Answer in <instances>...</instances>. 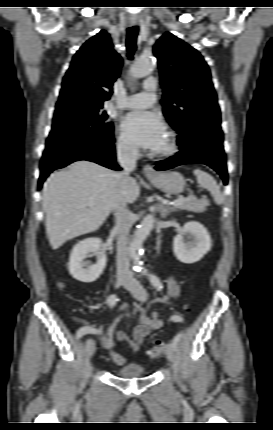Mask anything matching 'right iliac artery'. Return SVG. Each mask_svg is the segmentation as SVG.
I'll list each match as a JSON object with an SVG mask.
<instances>
[{"instance_id":"82829eb1","label":"right iliac artery","mask_w":273,"mask_h":430,"mask_svg":"<svg viewBox=\"0 0 273 430\" xmlns=\"http://www.w3.org/2000/svg\"><path fill=\"white\" fill-rule=\"evenodd\" d=\"M118 301V298L115 294H111L108 298H107V304L110 307H114L116 305V302ZM99 332L97 330H78L76 337L77 338H82L83 335H97Z\"/></svg>"}]
</instances>
